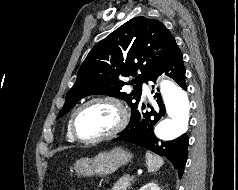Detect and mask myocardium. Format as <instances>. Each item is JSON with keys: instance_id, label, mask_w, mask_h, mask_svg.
Wrapping results in <instances>:
<instances>
[{"instance_id": "obj_1", "label": "myocardium", "mask_w": 238, "mask_h": 190, "mask_svg": "<svg viewBox=\"0 0 238 190\" xmlns=\"http://www.w3.org/2000/svg\"><path fill=\"white\" fill-rule=\"evenodd\" d=\"M95 103H105L111 105L117 112V123L116 125L107 133L95 136V137H82L76 128V120L79 115V113L89 105L95 104ZM129 122V112L125 104L117 97L105 95V96H97L93 97L84 103H82L80 106L77 107V109L74 111L71 121H70V130L75 139H77L80 142L83 143H96L101 142L104 140L111 139L118 135L128 124Z\"/></svg>"}]
</instances>
